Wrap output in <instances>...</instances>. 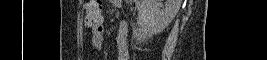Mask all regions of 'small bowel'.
I'll list each match as a JSON object with an SVG mask.
<instances>
[{"instance_id":"c3829d8e","label":"small bowel","mask_w":267,"mask_h":60,"mask_svg":"<svg viewBox=\"0 0 267 60\" xmlns=\"http://www.w3.org/2000/svg\"><path fill=\"white\" fill-rule=\"evenodd\" d=\"M122 2H123L122 0L112 1V3L116 6H121ZM128 31H129L128 22L125 20L121 21L118 26V34L116 38L117 60H128L129 59V50H128V45L126 41ZM103 32H104V26H103V16H102V21L99 26H96V27L91 26V45L97 51L102 49Z\"/></svg>"}]
</instances>
